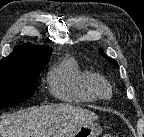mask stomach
Returning a JSON list of instances; mask_svg holds the SVG:
<instances>
[{
	"instance_id": "1",
	"label": "stomach",
	"mask_w": 144,
	"mask_h": 137,
	"mask_svg": "<svg viewBox=\"0 0 144 137\" xmlns=\"http://www.w3.org/2000/svg\"><path fill=\"white\" fill-rule=\"evenodd\" d=\"M102 128L97 123H89L79 127L72 132L68 137H99Z\"/></svg>"
}]
</instances>
